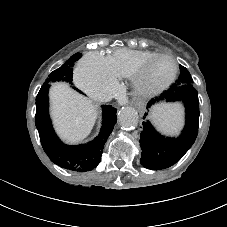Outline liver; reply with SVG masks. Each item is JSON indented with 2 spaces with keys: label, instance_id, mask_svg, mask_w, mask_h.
<instances>
[{
  "label": "liver",
  "instance_id": "1",
  "mask_svg": "<svg viewBox=\"0 0 227 227\" xmlns=\"http://www.w3.org/2000/svg\"><path fill=\"white\" fill-rule=\"evenodd\" d=\"M50 99L53 122L60 137L67 143H78L85 139L98 115L92 102L61 83L53 85Z\"/></svg>",
  "mask_w": 227,
  "mask_h": 227
}]
</instances>
